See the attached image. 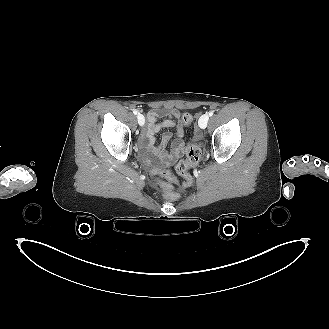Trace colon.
Here are the masks:
<instances>
[{"mask_svg": "<svg viewBox=\"0 0 329 329\" xmlns=\"http://www.w3.org/2000/svg\"><path fill=\"white\" fill-rule=\"evenodd\" d=\"M182 123L190 126L194 123V116L191 113H184L182 115ZM185 160L180 161L176 166L177 176L164 169H155L152 172L153 178L159 181L164 190L162 193L163 198L178 200L179 195L173 190V185L170 181L176 182L181 186H187L192 182L190 168L198 163L201 158V149L193 142H189L186 148Z\"/></svg>", "mask_w": 329, "mask_h": 329, "instance_id": "1", "label": "colon"}]
</instances>
